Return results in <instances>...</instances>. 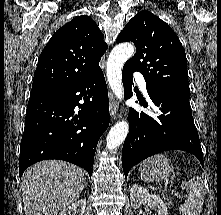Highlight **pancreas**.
Here are the masks:
<instances>
[{"mask_svg":"<svg viewBox=\"0 0 221 215\" xmlns=\"http://www.w3.org/2000/svg\"><path fill=\"white\" fill-rule=\"evenodd\" d=\"M165 199L167 200L168 205H170L172 203L170 199H168V198H165Z\"/></svg>","mask_w":221,"mask_h":215,"instance_id":"1","label":"pancreas"}]
</instances>
